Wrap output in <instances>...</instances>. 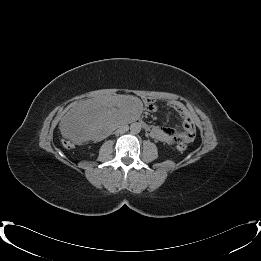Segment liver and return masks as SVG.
<instances>
[{
	"mask_svg": "<svg viewBox=\"0 0 261 261\" xmlns=\"http://www.w3.org/2000/svg\"><path fill=\"white\" fill-rule=\"evenodd\" d=\"M142 107L133 96L100 97L78 102L60 122L62 135L74 143L94 139L100 132L111 130L117 121L130 123Z\"/></svg>",
	"mask_w": 261,
	"mask_h": 261,
	"instance_id": "1",
	"label": "liver"
}]
</instances>
